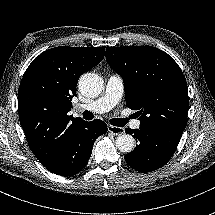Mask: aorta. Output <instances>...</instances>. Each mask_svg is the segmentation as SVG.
Returning a JSON list of instances; mask_svg holds the SVG:
<instances>
[{"instance_id":"1","label":"aorta","mask_w":215,"mask_h":215,"mask_svg":"<svg viewBox=\"0 0 215 215\" xmlns=\"http://www.w3.org/2000/svg\"><path fill=\"white\" fill-rule=\"evenodd\" d=\"M79 88L87 97H96L102 91L101 79L93 73H84L79 78ZM116 148L123 153H130L135 148L134 138L129 134H122L115 139Z\"/></svg>"}]
</instances>
